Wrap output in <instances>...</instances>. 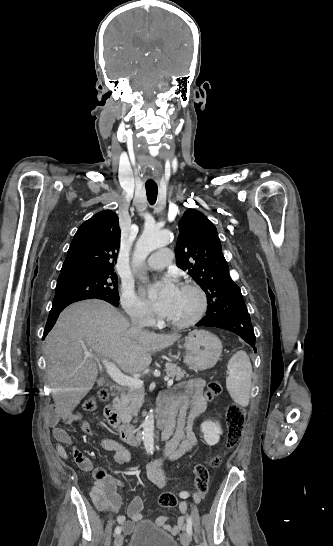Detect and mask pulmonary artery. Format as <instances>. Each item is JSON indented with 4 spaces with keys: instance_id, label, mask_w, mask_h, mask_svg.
Returning a JSON list of instances; mask_svg holds the SVG:
<instances>
[{
    "instance_id": "obj_1",
    "label": "pulmonary artery",
    "mask_w": 333,
    "mask_h": 546,
    "mask_svg": "<svg viewBox=\"0 0 333 546\" xmlns=\"http://www.w3.org/2000/svg\"><path fill=\"white\" fill-rule=\"evenodd\" d=\"M172 259V251L162 248L154 252L146 261L145 268L149 270H160L168 266Z\"/></svg>"
}]
</instances>
